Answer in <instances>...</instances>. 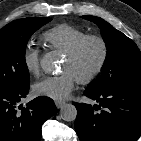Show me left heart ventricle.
Returning a JSON list of instances; mask_svg holds the SVG:
<instances>
[{
  "mask_svg": "<svg viewBox=\"0 0 141 141\" xmlns=\"http://www.w3.org/2000/svg\"><path fill=\"white\" fill-rule=\"evenodd\" d=\"M99 57V45L96 42H90L76 61H71L65 57L62 71L70 72L77 79L82 75L88 74L97 64Z\"/></svg>",
  "mask_w": 141,
  "mask_h": 141,
  "instance_id": "obj_1",
  "label": "left heart ventricle"
}]
</instances>
